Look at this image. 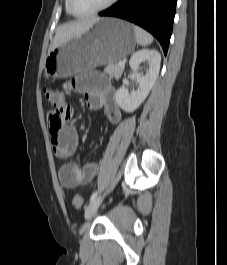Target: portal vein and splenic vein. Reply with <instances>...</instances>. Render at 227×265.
Instances as JSON below:
<instances>
[{
  "label": "portal vein and splenic vein",
  "mask_w": 227,
  "mask_h": 265,
  "mask_svg": "<svg viewBox=\"0 0 227 265\" xmlns=\"http://www.w3.org/2000/svg\"><path fill=\"white\" fill-rule=\"evenodd\" d=\"M124 65H125L124 61L119 62V66L124 67Z\"/></svg>",
  "instance_id": "portal-vein-and-splenic-vein-1"
}]
</instances>
